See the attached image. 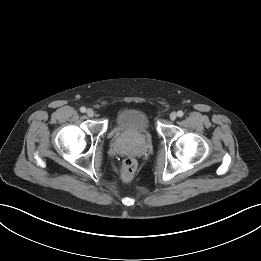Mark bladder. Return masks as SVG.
I'll use <instances>...</instances> for the list:
<instances>
[{
	"label": "bladder",
	"instance_id": "bladder-1",
	"mask_svg": "<svg viewBox=\"0 0 261 261\" xmlns=\"http://www.w3.org/2000/svg\"><path fill=\"white\" fill-rule=\"evenodd\" d=\"M149 115L140 109H125L118 113L114 128L121 132H145L150 129Z\"/></svg>",
	"mask_w": 261,
	"mask_h": 261
}]
</instances>
